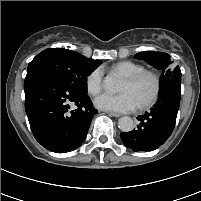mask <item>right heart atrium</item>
<instances>
[{
    "label": "right heart atrium",
    "mask_w": 201,
    "mask_h": 201,
    "mask_svg": "<svg viewBox=\"0 0 201 201\" xmlns=\"http://www.w3.org/2000/svg\"><path fill=\"white\" fill-rule=\"evenodd\" d=\"M86 90L92 95L99 94L103 87V71L101 68L92 70L86 77Z\"/></svg>",
    "instance_id": "1"
}]
</instances>
